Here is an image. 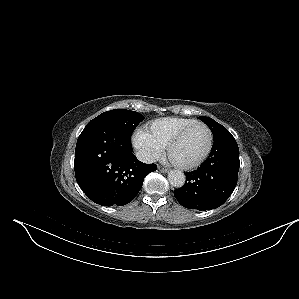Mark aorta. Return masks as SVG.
<instances>
[{
  "instance_id": "obj_1",
  "label": "aorta",
  "mask_w": 299,
  "mask_h": 299,
  "mask_svg": "<svg viewBox=\"0 0 299 299\" xmlns=\"http://www.w3.org/2000/svg\"><path fill=\"white\" fill-rule=\"evenodd\" d=\"M168 180L170 184L176 188H181L185 184V175L180 170H170L168 173Z\"/></svg>"
}]
</instances>
